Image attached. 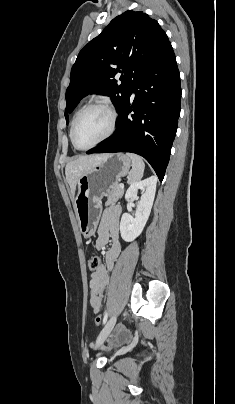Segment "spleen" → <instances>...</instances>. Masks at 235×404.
<instances>
[{"label": "spleen", "instance_id": "1", "mask_svg": "<svg viewBox=\"0 0 235 404\" xmlns=\"http://www.w3.org/2000/svg\"><path fill=\"white\" fill-rule=\"evenodd\" d=\"M132 161V169L128 175V183L132 184L139 181L143 177L145 164L140 156L134 153H127Z\"/></svg>", "mask_w": 235, "mask_h": 404}]
</instances>
